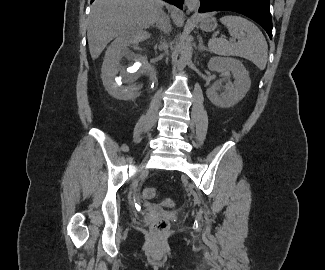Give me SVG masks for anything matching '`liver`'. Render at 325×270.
I'll use <instances>...</instances> for the list:
<instances>
[{
  "label": "liver",
  "instance_id": "1",
  "mask_svg": "<svg viewBox=\"0 0 325 270\" xmlns=\"http://www.w3.org/2000/svg\"><path fill=\"white\" fill-rule=\"evenodd\" d=\"M160 0H95L88 20L87 37L90 55L97 59L114 38H129L158 21L162 14ZM176 25L182 14L171 8Z\"/></svg>",
  "mask_w": 325,
  "mask_h": 270
}]
</instances>
